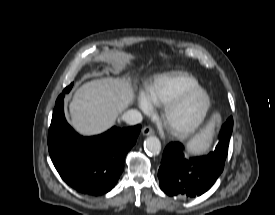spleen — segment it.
Wrapping results in <instances>:
<instances>
[{
  "mask_svg": "<svg viewBox=\"0 0 275 215\" xmlns=\"http://www.w3.org/2000/svg\"><path fill=\"white\" fill-rule=\"evenodd\" d=\"M217 121L218 116L215 115L207 128L189 142L188 148L190 152L200 154L208 149L213 127Z\"/></svg>",
  "mask_w": 275,
  "mask_h": 215,
  "instance_id": "obj_1",
  "label": "spleen"
}]
</instances>
